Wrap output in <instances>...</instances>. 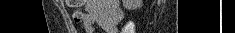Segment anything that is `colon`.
I'll return each mask as SVG.
<instances>
[{
    "mask_svg": "<svg viewBox=\"0 0 235 33\" xmlns=\"http://www.w3.org/2000/svg\"><path fill=\"white\" fill-rule=\"evenodd\" d=\"M66 3L73 8H80L85 1L84 0H66ZM75 20L76 21H81L82 20V13L80 11H76L74 14ZM133 32V26L131 24H128L125 28L124 33H132Z\"/></svg>",
    "mask_w": 235,
    "mask_h": 33,
    "instance_id": "5ec220e1",
    "label": "colon"
}]
</instances>
